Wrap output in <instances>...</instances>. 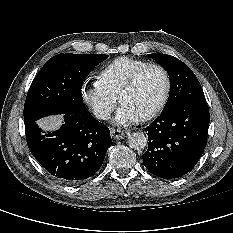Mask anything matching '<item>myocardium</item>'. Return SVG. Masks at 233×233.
<instances>
[{
	"mask_svg": "<svg viewBox=\"0 0 233 233\" xmlns=\"http://www.w3.org/2000/svg\"><path fill=\"white\" fill-rule=\"evenodd\" d=\"M152 68L158 69L163 73V75L165 77V82H166L165 92H164L161 100L159 101V103L150 112H148L147 114H145L144 116L141 117L142 121H148V120H151L154 117H156L163 110L165 105L167 104L168 99H169L170 94H171V89H172V79H171L169 71L164 66H162L160 64L149 63V64L141 67L137 71H135L130 76V78L127 80V82L125 83V85L123 86V88L121 89V91L118 95L119 102L121 103L123 96L135 87V85L139 81L140 77L147 70L152 69Z\"/></svg>",
	"mask_w": 233,
	"mask_h": 233,
	"instance_id": "1",
	"label": "myocardium"
}]
</instances>
